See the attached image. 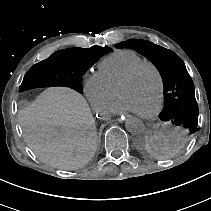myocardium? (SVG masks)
<instances>
[{
	"label": "myocardium",
	"instance_id": "f54148a6",
	"mask_svg": "<svg viewBox=\"0 0 211 211\" xmlns=\"http://www.w3.org/2000/svg\"><path fill=\"white\" fill-rule=\"evenodd\" d=\"M144 67H150L155 72L157 79H158V83H159V94H158V99H157L155 106L150 111L144 112V113H137L136 112V114L139 117H142V118H151V117L155 116L159 112V110L161 109V106H162L163 101H164V93H165L164 78H163L162 72L160 71V69L157 67L156 64H154L153 62H150V61H144V62L137 64L132 69H130L116 83L115 91H116V94L118 95V91H117L118 87L127 83V82H129Z\"/></svg>",
	"mask_w": 211,
	"mask_h": 211
}]
</instances>
